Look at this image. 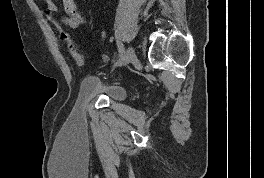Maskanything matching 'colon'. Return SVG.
<instances>
[{
  "instance_id": "colon-1",
  "label": "colon",
  "mask_w": 264,
  "mask_h": 178,
  "mask_svg": "<svg viewBox=\"0 0 264 178\" xmlns=\"http://www.w3.org/2000/svg\"><path fill=\"white\" fill-rule=\"evenodd\" d=\"M44 13L50 17L51 13H49L46 9L44 10ZM51 24L55 27V29L60 33V36L62 40L66 43L67 49L71 56L74 58V60L82 65L86 61V55L79 49V47L76 45V43L73 41L71 35L63 29L61 24L54 20L50 19Z\"/></svg>"
}]
</instances>
